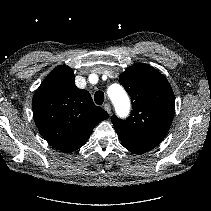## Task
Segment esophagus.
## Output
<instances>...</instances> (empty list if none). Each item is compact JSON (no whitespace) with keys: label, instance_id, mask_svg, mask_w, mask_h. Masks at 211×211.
I'll use <instances>...</instances> for the list:
<instances>
[{"label":"esophagus","instance_id":"34e87169","mask_svg":"<svg viewBox=\"0 0 211 211\" xmlns=\"http://www.w3.org/2000/svg\"><path fill=\"white\" fill-rule=\"evenodd\" d=\"M104 109H105L106 112H108L110 114V112H111V106H110L109 103L104 104Z\"/></svg>","mask_w":211,"mask_h":211}]
</instances>
